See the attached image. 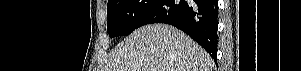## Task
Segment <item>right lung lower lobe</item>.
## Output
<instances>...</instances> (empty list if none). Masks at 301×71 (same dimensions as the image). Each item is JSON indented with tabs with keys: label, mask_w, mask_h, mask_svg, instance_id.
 <instances>
[{
	"label": "right lung lower lobe",
	"mask_w": 301,
	"mask_h": 71,
	"mask_svg": "<svg viewBox=\"0 0 301 71\" xmlns=\"http://www.w3.org/2000/svg\"><path fill=\"white\" fill-rule=\"evenodd\" d=\"M171 24L201 45L217 63V0H158L140 21Z\"/></svg>",
	"instance_id": "1"
}]
</instances>
